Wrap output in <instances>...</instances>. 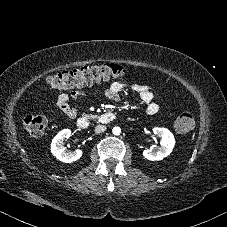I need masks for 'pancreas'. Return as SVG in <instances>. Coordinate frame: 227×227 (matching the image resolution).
<instances>
[{
  "instance_id": "obj_1",
  "label": "pancreas",
  "mask_w": 227,
  "mask_h": 227,
  "mask_svg": "<svg viewBox=\"0 0 227 227\" xmlns=\"http://www.w3.org/2000/svg\"><path fill=\"white\" fill-rule=\"evenodd\" d=\"M88 119H95L97 116L92 114H85Z\"/></svg>"
}]
</instances>
